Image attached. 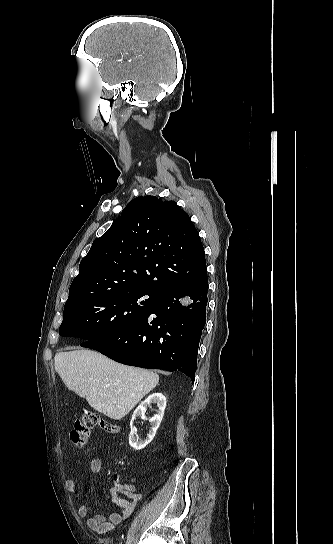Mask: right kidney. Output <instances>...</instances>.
Wrapping results in <instances>:
<instances>
[{
  "mask_svg": "<svg viewBox=\"0 0 333 544\" xmlns=\"http://www.w3.org/2000/svg\"><path fill=\"white\" fill-rule=\"evenodd\" d=\"M155 403L158 406L157 414H155L152 418L149 419L151 423V429L149 431V434L147 435V438L144 441H139V438L136 437V432L133 429L132 423L136 419V417H141L145 419V413L147 407L151 404ZM166 407V397L159 392L153 393L149 395L141 404L136 408L132 415L131 420V432L129 435V445L134 448L135 450H140L146 447L154 438L157 429L160 426L161 420L164 415V410Z\"/></svg>",
  "mask_w": 333,
  "mask_h": 544,
  "instance_id": "ca27d5eb",
  "label": "right kidney"
}]
</instances>
